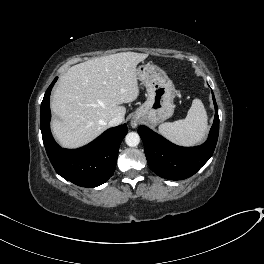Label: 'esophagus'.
Here are the masks:
<instances>
[{"instance_id":"34e87169","label":"esophagus","mask_w":264,"mask_h":264,"mask_svg":"<svg viewBox=\"0 0 264 264\" xmlns=\"http://www.w3.org/2000/svg\"><path fill=\"white\" fill-rule=\"evenodd\" d=\"M132 128H136L138 126V121L136 118H133L130 122Z\"/></svg>"}]
</instances>
